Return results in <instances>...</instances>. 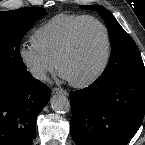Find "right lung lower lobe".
Returning a JSON list of instances; mask_svg holds the SVG:
<instances>
[{"mask_svg":"<svg viewBox=\"0 0 145 145\" xmlns=\"http://www.w3.org/2000/svg\"><path fill=\"white\" fill-rule=\"evenodd\" d=\"M50 99L49 88L27 72L0 81V145H31L36 117Z\"/></svg>","mask_w":145,"mask_h":145,"instance_id":"obj_1","label":"right lung lower lobe"}]
</instances>
